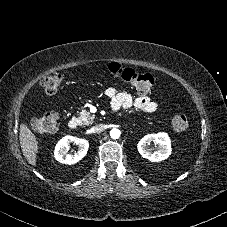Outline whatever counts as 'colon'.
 Masks as SVG:
<instances>
[{"label":"colon","mask_w":227,"mask_h":227,"mask_svg":"<svg viewBox=\"0 0 227 227\" xmlns=\"http://www.w3.org/2000/svg\"><path fill=\"white\" fill-rule=\"evenodd\" d=\"M108 72L141 94L148 93L156 84V80L151 74L125 68L118 63H110ZM61 83L62 75L60 73H52L42 80V86L47 93H55L60 88ZM58 123L59 115L56 112H48L43 116L34 118L32 127L39 133H51L56 130ZM171 125L175 131L179 132L188 128V117L180 107H178L177 113L172 118Z\"/></svg>","instance_id":"5ec220e1"}]
</instances>
